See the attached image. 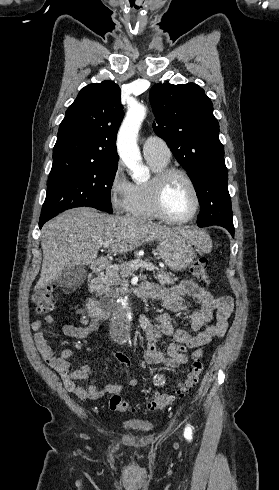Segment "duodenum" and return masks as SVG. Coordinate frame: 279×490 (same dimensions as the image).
<instances>
[{
  "label": "duodenum",
  "instance_id": "1",
  "mask_svg": "<svg viewBox=\"0 0 279 490\" xmlns=\"http://www.w3.org/2000/svg\"><path fill=\"white\" fill-rule=\"evenodd\" d=\"M105 263L102 260L92 262L91 268L94 272H100L104 269ZM135 293L139 296H147L145 284L133 286L129 283L122 284L111 296H105L101 300L89 299L86 304L87 311L91 317L97 320L106 319L112 311L113 298L118 295Z\"/></svg>",
  "mask_w": 279,
  "mask_h": 490
}]
</instances>
